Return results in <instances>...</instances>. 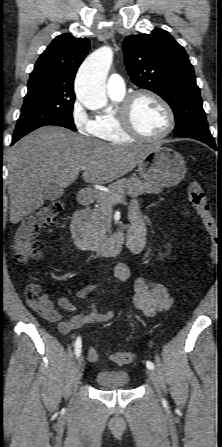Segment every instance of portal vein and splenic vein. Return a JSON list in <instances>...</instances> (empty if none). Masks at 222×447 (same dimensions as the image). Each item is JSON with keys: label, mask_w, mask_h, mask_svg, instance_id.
<instances>
[{"label": "portal vein and splenic vein", "mask_w": 222, "mask_h": 447, "mask_svg": "<svg viewBox=\"0 0 222 447\" xmlns=\"http://www.w3.org/2000/svg\"><path fill=\"white\" fill-rule=\"evenodd\" d=\"M123 197H117V198H115V199H113L112 201H113V203H121V202H123Z\"/></svg>", "instance_id": "18ae733b"}]
</instances>
